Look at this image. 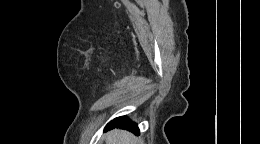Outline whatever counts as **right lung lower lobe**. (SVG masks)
<instances>
[{
	"label": "right lung lower lobe",
	"instance_id": "obj_1",
	"mask_svg": "<svg viewBox=\"0 0 260 144\" xmlns=\"http://www.w3.org/2000/svg\"><path fill=\"white\" fill-rule=\"evenodd\" d=\"M115 127L124 128V129L130 130V131H133L135 134L139 135V129H138L137 125L135 123L131 122L125 116L115 118L114 120L109 122L107 124V126L105 127V130L113 129Z\"/></svg>",
	"mask_w": 260,
	"mask_h": 144
}]
</instances>
